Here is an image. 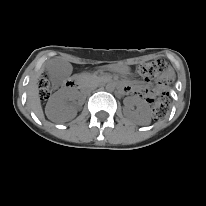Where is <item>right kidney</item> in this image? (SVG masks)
<instances>
[{
	"mask_svg": "<svg viewBox=\"0 0 206 206\" xmlns=\"http://www.w3.org/2000/svg\"><path fill=\"white\" fill-rule=\"evenodd\" d=\"M76 97V92L55 93L46 105L45 113L47 117L55 122H64L74 118L76 116V111L67 105V100L75 99Z\"/></svg>",
	"mask_w": 206,
	"mask_h": 206,
	"instance_id": "right-kidney-1",
	"label": "right kidney"
}]
</instances>
